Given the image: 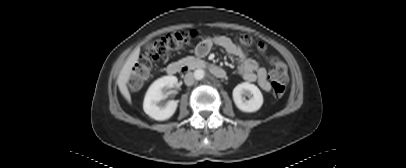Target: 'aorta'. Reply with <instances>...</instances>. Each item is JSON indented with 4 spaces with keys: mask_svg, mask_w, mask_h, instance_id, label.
I'll return each mask as SVG.
<instances>
[{
    "mask_svg": "<svg viewBox=\"0 0 406 168\" xmlns=\"http://www.w3.org/2000/svg\"><path fill=\"white\" fill-rule=\"evenodd\" d=\"M205 76V71L203 69H197L194 72V77L196 80H202Z\"/></svg>",
    "mask_w": 406,
    "mask_h": 168,
    "instance_id": "762f6f07",
    "label": "aorta"
}]
</instances>
